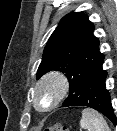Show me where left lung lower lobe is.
Wrapping results in <instances>:
<instances>
[{"label": "left lung lower lobe", "instance_id": "obj_1", "mask_svg": "<svg viewBox=\"0 0 117 131\" xmlns=\"http://www.w3.org/2000/svg\"><path fill=\"white\" fill-rule=\"evenodd\" d=\"M103 61L94 69L83 86L70 90L69 101L65 107H91L101 112L116 125V116L111 105L110 94L105 86L107 72L102 68Z\"/></svg>", "mask_w": 117, "mask_h": 131}]
</instances>
